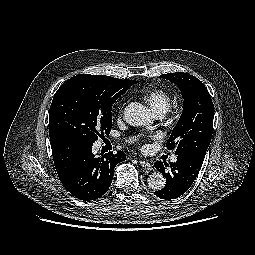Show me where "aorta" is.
Instances as JSON below:
<instances>
[{"label": "aorta", "mask_w": 255, "mask_h": 255, "mask_svg": "<svg viewBox=\"0 0 255 255\" xmlns=\"http://www.w3.org/2000/svg\"><path fill=\"white\" fill-rule=\"evenodd\" d=\"M125 121L132 126H143L151 122L149 109L138 102L130 103L124 112ZM148 186L154 191L162 190L166 184V178L159 172L148 176Z\"/></svg>", "instance_id": "1"}]
</instances>
